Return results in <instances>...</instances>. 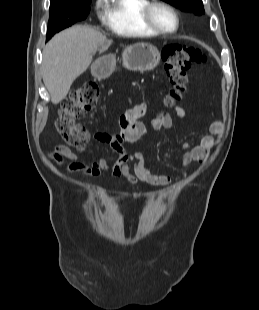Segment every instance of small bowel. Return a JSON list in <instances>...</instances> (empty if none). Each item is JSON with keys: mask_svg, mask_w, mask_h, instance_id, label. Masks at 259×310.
<instances>
[{"mask_svg": "<svg viewBox=\"0 0 259 310\" xmlns=\"http://www.w3.org/2000/svg\"><path fill=\"white\" fill-rule=\"evenodd\" d=\"M177 116L185 117V110L176 106L174 108ZM145 111V104L140 103L128 110L119 119V127L116 131H102L93 135V140L109 145L118 155L113 169L112 176L116 179L122 178V184L134 186L138 182L150 186H164L183 179L187 176L193 162H204L210 152L219 143L223 133V125L219 121H213L208 128L211 135L199 137L195 143H184L186 152L183 154L179 167L182 172L179 175H159L151 173L145 166L143 156L140 153L130 154L125 145L139 139L145 132V126L139 121V117ZM153 130L166 129L174 133L172 118L167 112L158 113L150 122ZM85 151L81 148L76 151L65 145H57L47 153V157L54 161L56 166L63 168L64 161L69 160L70 164L65 172L73 174L80 172L82 177H100L108 170L109 161L106 157L82 158L80 155Z\"/></svg>", "mask_w": 259, "mask_h": 310, "instance_id": "obj_1", "label": "small bowel"}]
</instances>
